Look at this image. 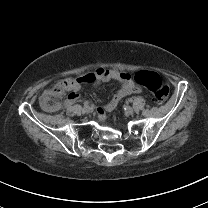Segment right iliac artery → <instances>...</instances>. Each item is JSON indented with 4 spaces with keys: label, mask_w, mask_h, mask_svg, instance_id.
I'll list each match as a JSON object with an SVG mask.
<instances>
[{
    "label": "right iliac artery",
    "mask_w": 208,
    "mask_h": 208,
    "mask_svg": "<svg viewBox=\"0 0 208 208\" xmlns=\"http://www.w3.org/2000/svg\"><path fill=\"white\" fill-rule=\"evenodd\" d=\"M83 105H84V108L85 107H89V102L88 101H85Z\"/></svg>",
    "instance_id": "right-iliac-artery-1"
}]
</instances>
